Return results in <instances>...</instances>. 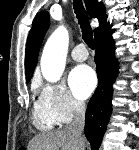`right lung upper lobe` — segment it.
<instances>
[{
	"instance_id": "obj_1",
	"label": "right lung upper lobe",
	"mask_w": 139,
	"mask_h": 150,
	"mask_svg": "<svg viewBox=\"0 0 139 150\" xmlns=\"http://www.w3.org/2000/svg\"><path fill=\"white\" fill-rule=\"evenodd\" d=\"M87 11L90 16L97 17L99 20V27L94 30V34L106 23L105 7L102 3H97V0H84ZM49 27V15L48 12H42L38 15L32 25V28L28 35L26 53H25V72L26 81L32 77L35 69L39 49L43 41L47 28Z\"/></svg>"
}]
</instances>
